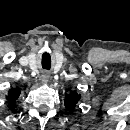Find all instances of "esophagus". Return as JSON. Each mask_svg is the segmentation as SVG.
Instances as JSON below:
<instances>
[{
  "instance_id": "esophagus-1",
  "label": "esophagus",
  "mask_w": 130,
  "mask_h": 130,
  "mask_svg": "<svg viewBox=\"0 0 130 130\" xmlns=\"http://www.w3.org/2000/svg\"><path fill=\"white\" fill-rule=\"evenodd\" d=\"M49 78H50L49 73H47V72L42 73V75H41L42 81L47 82L49 80Z\"/></svg>"
}]
</instances>
